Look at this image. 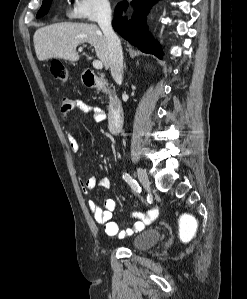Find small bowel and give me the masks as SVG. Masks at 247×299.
I'll use <instances>...</instances> for the list:
<instances>
[{"instance_id":"obj_1","label":"small bowel","mask_w":247,"mask_h":299,"mask_svg":"<svg viewBox=\"0 0 247 299\" xmlns=\"http://www.w3.org/2000/svg\"><path fill=\"white\" fill-rule=\"evenodd\" d=\"M72 110L90 114L97 122H101L105 119V112L100 107L89 105L80 99L64 98L61 105V117L64 121L68 120ZM67 141L72 151H79L80 144L71 133H67ZM111 185L112 183L109 177H102L97 180L94 176H91L86 180H81V189L85 194L91 193L96 186L109 189ZM88 207L94 220L103 226L105 233L110 237L117 238H123L142 231L146 225L153 222L158 216V208L156 206L152 207L146 214L132 212L130 217L135 220L133 227L120 230L119 225L112 220L113 212L116 209V201L114 199H106L103 208L99 207L94 201H90Z\"/></svg>"}]
</instances>
